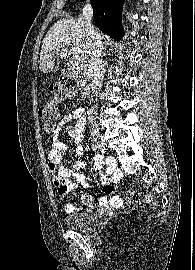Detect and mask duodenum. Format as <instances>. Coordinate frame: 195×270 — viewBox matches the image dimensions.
Here are the masks:
<instances>
[{
  "mask_svg": "<svg viewBox=\"0 0 195 270\" xmlns=\"http://www.w3.org/2000/svg\"><path fill=\"white\" fill-rule=\"evenodd\" d=\"M72 71L76 75L82 76V90H81V97L82 99H87L94 89V81L91 77V74L88 68L85 65H78L72 68Z\"/></svg>",
  "mask_w": 195,
  "mask_h": 270,
  "instance_id": "1",
  "label": "duodenum"
}]
</instances>
